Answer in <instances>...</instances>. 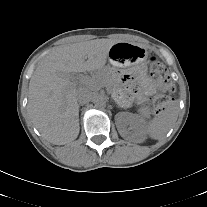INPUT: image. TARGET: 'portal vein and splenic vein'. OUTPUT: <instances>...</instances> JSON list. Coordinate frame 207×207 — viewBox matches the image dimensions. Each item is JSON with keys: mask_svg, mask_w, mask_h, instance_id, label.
Here are the masks:
<instances>
[{"mask_svg": "<svg viewBox=\"0 0 207 207\" xmlns=\"http://www.w3.org/2000/svg\"><path fill=\"white\" fill-rule=\"evenodd\" d=\"M80 82H83L89 86H92L93 85V82L91 81V78H88V77H82L80 78Z\"/></svg>", "mask_w": 207, "mask_h": 207, "instance_id": "1", "label": "portal vein and splenic vein"}]
</instances>
